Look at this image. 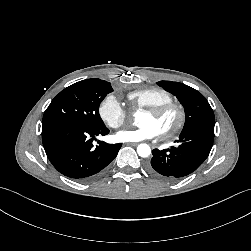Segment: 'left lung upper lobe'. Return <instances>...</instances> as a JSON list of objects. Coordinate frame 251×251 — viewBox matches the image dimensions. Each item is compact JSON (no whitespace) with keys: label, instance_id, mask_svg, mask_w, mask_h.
Returning a JSON list of instances; mask_svg holds the SVG:
<instances>
[{"label":"left lung upper lobe","instance_id":"5c2ea615","mask_svg":"<svg viewBox=\"0 0 251 251\" xmlns=\"http://www.w3.org/2000/svg\"><path fill=\"white\" fill-rule=\"evenodd\" d=\"M157 84L175 95L185 108V124L181 133L198 128L214 130L213 110L200 92L179 82L159 81Z\"/></svg>","mask_w":251,"mask_h":251}]
</instances>
